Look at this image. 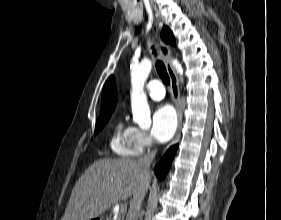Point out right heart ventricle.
<instances>
[{"label":"right heart ventricle","instance_id":"1","mask_svg":"<svg viewBox=\"0 0 281 220\" xmlns=\"http://www.w3.org/2000/svg\"><path fill=\"white\" fill-rule=\"evenodd\" d=\"M112 151L120 156L130 157L140 153L134 140V127L118 120L110 140Z\"/></svg>","mask_w":281,"mask_h":220}]
</instances>
